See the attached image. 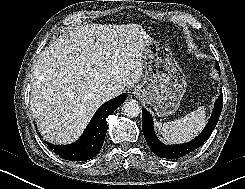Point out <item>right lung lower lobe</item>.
<instances>
[{
    "label": "right lung lower lobe",
    "mask_w": 245,
    "mask_h": 189,
    "mask_svg": "<svg viewBox=\"0 0 245 189\" xmlns=\"http://www.w3.org/2000/svg\"><path fill=\"white\" fill-rule=\"evenodd\" d=\"M127 98V94L104 103L94 114L81 137L70 145H53L45 142L55 154L69 161H86L101 150L107 132L106 118L113 113Z\"/></svg>",
    "instance_id": "98d812e1"
}]
</instances>
